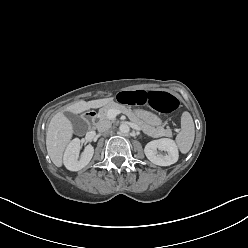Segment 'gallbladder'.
I'll list each match as a JSON object with an SVG mask.
<instances>
[{
  "mask_svg": "<svg viewBox=\"0 0 248 248\" xmlns=\"http://www.w3.org/2000/svg\"><path fill=\"white\" fill-rule=\"evenodd\" d=\"M66 116L73 123L74 129L76 131H83L86 129V122L83 119H81L80 117H78L72 113H66Z\"/></svg>",
  "mask_w": 248,
  "mask_h": 248,
  "instance_id": "gallbladder-1",
  "label": "gallbladder"
}]
</instances>
